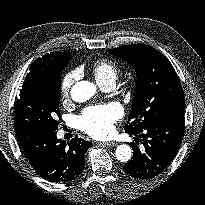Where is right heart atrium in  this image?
Listing matches in <instances>:
<instances>
[{
	"label": "right heart atrium",
	"mask_w": 205,
	"mask_h": 205,
	"mask_svg": "<svg viewBox=\"0 0 205 205\" xmlns=\"http://www.w3.org/2000/svg\"><path fill=\"white\" fill-rule=\"evenodd\" d=\"M76 79V71H71L64 76L60 87V93L63 98H67L69 96L70 89L73 86Z\"/></svg>",
	"instance_id": "d8ad5b80"
}]
</instances>
